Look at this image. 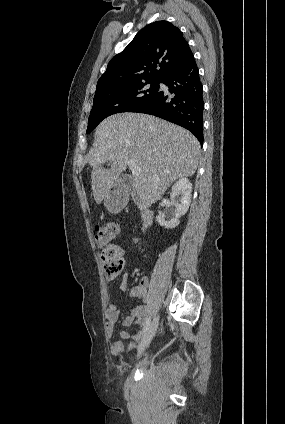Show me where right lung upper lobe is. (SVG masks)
Listing matches in <instances>:
<instances>
[{"label":"right lung upper lobe","mask_w":285,"mask_h":424,"mask_svg":"<svg viewBox=\"0 0 285 424\" xmlns=\"http://www.w3.org/2000/svg\"><path fill=\"white\" fill-rule=\"evenodd\" d=\"M193 59L188 42L177 27L168 21L153 22L111 59L96 91L138 81H161Z\"/></svg>","instance_id":"obj_1"}]
</instances>
